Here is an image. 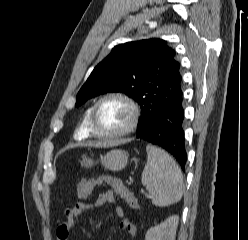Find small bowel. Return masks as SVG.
Here are the masks:
<instances>
[{
	"label": "small bowel",
	"mask_w": 248,
	"mask_h": 240,
	"mask_svg": "<svg viewBox=\"0 0 248 240\" xmlns=\"http://www.w3.org/2000/svg\"><path fill=\"white\" fill-rule=\"evenodd\" d=\"M105 204L115 206V214L121 219L119 229L134 237L137 232L136 225L125 217L124 209L117 204V199L112 191L101 193L92 203L80 202L74 207L68 209L65 215V221L56 230L58 240H68L70 231L74 226L75 220L82 214L97 208L103 207Z\"/></svg>",
	"instance_id": "c3829d8e"
}]
</instances>
